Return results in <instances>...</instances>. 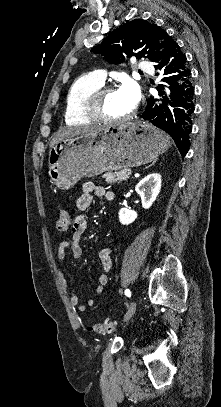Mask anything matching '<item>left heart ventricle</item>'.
<instances>
[{"instance_id": "left-heart-ventricle-1", "label": "left heart ventricle", "mask_w": 221, "mask_h": 407, "mask_svg": "<svg viewBox=\"0 0 221 407\" xmlns=\"http://www.w3.org/2000/svg\"><path fill=\"white\" fill-rule=\"evenodd\" d=\"M104 105L106 113L111 117H121L133 110L118 90L106 95Z\"/></svg>"}]
</instances>
